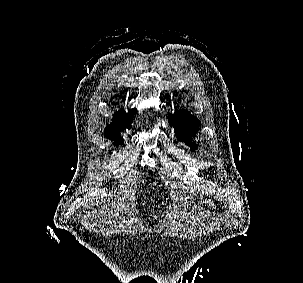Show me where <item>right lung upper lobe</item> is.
<instances>
[{"label":"right lung upper lobe","mask_w":303,"mask_h":283,"mask_svg":"<svg viewBox=\"0 0 303 283\" xmlns=\"http://www.w3.org/2000/svg\"><path fill=\"white\" fill-rule=\"evenodd\" d=\"M137 113L133 111L132 114ZM120 110L113 115L112 124L105 128V134L113 133L119 134V130L129 128L132 122L133 115Z\"/></svg>","instance_id":"cb5924a9"}]
</instances>
